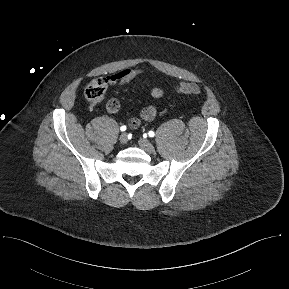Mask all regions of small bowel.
Wrapping results in <instances>:
<instances>
[{"instance_id": "obj_1", "label": "small bowel", "mask_w": 289, "mask_h": 289, "mask_svg": "<svg viewBox=\"0 0 289 289\" xmlns=\"http://www.w3.org/2000/svg\"><path fill=\"white\" fill-rule=\"evenodd\" d=\"M144 74L142 69H124L111 77L112 84H118L119 87H124L129 84L134 79L141 77ZM150 94L154 98H161L164 96L165 91L160 87H149ZM112 102L115 104V109H109L108 112L116 113L119 109V103L117 100L112 99ZM157 114V108L155 105L150 104L141 109L139 115L132 117L128 124L131 129L138 128L142 122H148L155 118Z\"/></svg>"}]
</instances>
